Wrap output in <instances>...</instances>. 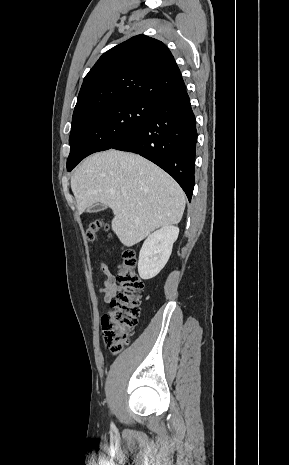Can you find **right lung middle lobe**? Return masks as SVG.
<instances>
[{"label":"right lung middle lobe","mask_w":289,"mask_h":465,"mask_svg":"<svg viewBox=\"0 0 289 465\" xmlns=\"http://www.w3.org/2000/svg\"><path fill=\"white\" fill-rule=\"evenodd\" d=\"M154 112V102L127 100L94 110L71 126L70 154L67 170L71 171L86 156L112 148L138 129Z\"/></svg>","instance_id":"obj_1"}]
</instances>
